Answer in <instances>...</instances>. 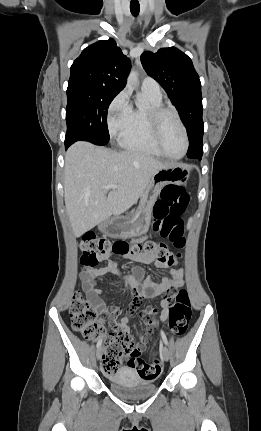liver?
<instances>
[{"mask_svg": "<svg viewBox=\"0 0 261 431\" xmlns=\"http://www.w3.org/2000/svg\"><path fill=\"white\" fill-rule=\"evenodd\" d=\"M169 165L144 153L73 144L65 156L64 198L75 237L127 211L154 174Z\"/></svg>", "mask_w": 261, "mask_h": 431, "instance_id": "obj_1", "label": "liver"}]
</instances>
